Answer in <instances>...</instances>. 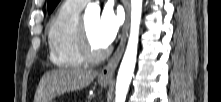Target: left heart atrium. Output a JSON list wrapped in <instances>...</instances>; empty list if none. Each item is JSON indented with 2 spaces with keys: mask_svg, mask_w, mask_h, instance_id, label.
Instances as JSON below:
<instances>
[{
  "mask_svg": "<svg viewBox=\"0 0 221 102\" xmlns=\"http://www.w3.org/2000/svg\"><path fill=\"white\" fill-rule=\"evenodd\" d=\"M122 24V16L112 6L107 5L98 20L96 38L103 45H109L116 37Z\"/></svg>",
  "mask_w": 221,
  "mask_h": 102,
  "instance_id": "obj_1",
  "label": "left heart atrium"
}]
</instances>
